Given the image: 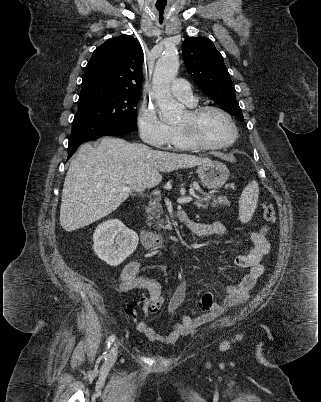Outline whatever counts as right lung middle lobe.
Instances as JSON below:
<instances>
[{"label":"right lung middle lobe","instance_id":"obj_1","mask_svg":"<svg viewBox=\"0 0 321 402\" xmlns=\"http://www.w3.org/2000/svg\"><path fill=\"white\" fill-rule=\"evenodd\" d=\"M140 95L103 88H82L73 124L121 122L137 124L136 109Z\"/></svg>","mask_w":321,"mask_h":402}]
</instances>
